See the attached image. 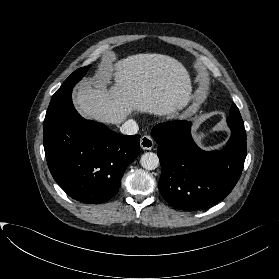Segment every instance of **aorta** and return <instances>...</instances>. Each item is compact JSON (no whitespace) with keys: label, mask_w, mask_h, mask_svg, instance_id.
<instances>
[{"label":"aorta","mask_w":279,"mask_h":279,"mask_svg":"<svg viewBox=\"0 0 279 279\" xmlns=\"http://www.w3.org/2000/svg\"><path fill=\"white\" fill-rule=\"evenodd\" d=\"M141 166L146 170H154L159 165V158L153 152H146L141 156Z\"/></svg>","instance_id":"aorta-1"}]
</instances>
